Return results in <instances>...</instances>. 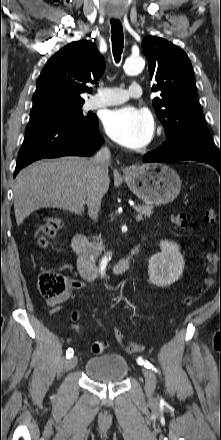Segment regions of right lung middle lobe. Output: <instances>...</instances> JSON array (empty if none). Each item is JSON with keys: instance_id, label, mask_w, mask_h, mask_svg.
<instances>
[{"instance_id": "dd1d6c3e", "label": "right lung middle lobe", "mask_w": 221, "mask_h": 440, "mask_svg": "<svg viewBox=\"0 0 221 440\" xmlns=\"http://www.w3.org/2000/svg\"><path fill=\"white\" fill-rule=\"evenodd\" d=\"M82 105H53L31 111L29 123L42 120H59L69 124H88L96 117H85Z\"/></svg>"}]
</instances>
